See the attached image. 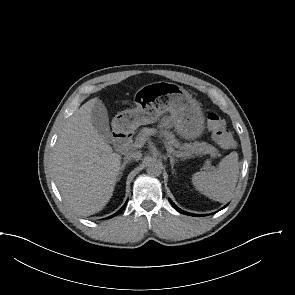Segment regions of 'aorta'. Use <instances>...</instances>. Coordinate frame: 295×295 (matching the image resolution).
<instances>
[{"label":"aorta","instance_id":"1","mask_svg":"<svg viewBox=\"0 0 295 295\" xmlns=\"http://www.w3.org/2000/svg\"><path fill=\"white\" fill-rule=\"evenodd\" d=\"M162 162L156 159H150L146 163V171L151 175H160L162 172Z\"/></svg>","mask_w":295,"mask_h":295}]
</instances>
